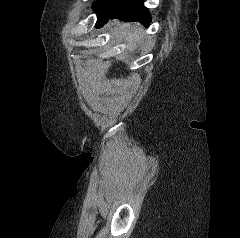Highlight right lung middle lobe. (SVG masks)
<instances>
[{
	"mask_svg": "<svg viewBox=\"0 0 240 238\" xmlns=\"http://www.w3.org/2000/svg\"><path fill=\"white\" fill-rule=\"evenodd\" d=\"M125 1L126 0H96V4L93 7L98 15L97 22L118 10Z\"/></svg>",
	"mask_w": 240,
	"mask_h": 238,
	"instance_id": "obj_1",
	"label": "right lung middle lobe"
}]
</instances>
